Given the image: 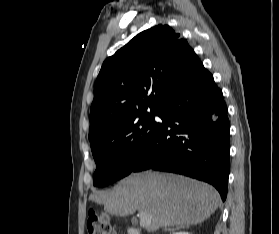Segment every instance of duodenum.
Returning a JSON list of instances; mask_svg holds the SVG:
<instances>
[{"label": "duodenum", "instance_id": "410a0bca", "mask_svg": "<svg viewBox=\"0 0 279 234\" xmlns=\"http://www.w3.org/2000/svg\"><path fill=\"white\" fill-rule=\"evenodd\" d=\"M128 234H141V233L135 228H129Z\"/></svg>", "mask_w": 279, "mask_h": 234}]
</instances>
